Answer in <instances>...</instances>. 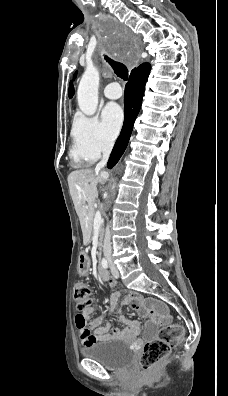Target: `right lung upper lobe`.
<instances>
[{"label":"right lung upper lobe","mask_w":228,"mask_h":396,"mask_svg":"<svg viewBox=\"0 0 228 396\" xmlns=\"http://www.w3.org/2000/svg\"><path fill=\"white\" fill-rule=\"evenodd\" d=\"M73 94H74V89H73L72 83H70V87H69V97L71 98V97L73 96Z\"/></svg>","instance_id":"obj_1"}]
</instances>
